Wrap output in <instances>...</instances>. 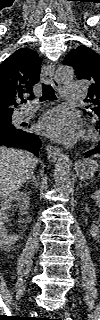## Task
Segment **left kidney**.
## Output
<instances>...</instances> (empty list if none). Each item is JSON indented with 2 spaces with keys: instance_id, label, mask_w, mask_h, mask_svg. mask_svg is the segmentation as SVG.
Instances as JSON below:
<instances>
[{
  "instance_id": "5707ae66",
  "label": "left kidney",
  "mask_w": 100,
  "mask_h": 320,
  "mask_svg": "<svg viewBox=\"0 0 100 320\" xmlns=\"http://www.w3.org/2000/svg\"><path fill=\"white\" fill-rule=\"evenodd\" d=\"M91 198L94 200H98L100 198V192L96 190L92 195ZM92 237L94 239H99L100 238V229L99 226L97 225H92L91 226V231H90Z\"/></svg>"
}]
</instances>
